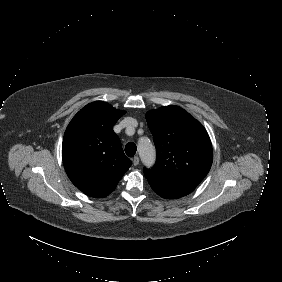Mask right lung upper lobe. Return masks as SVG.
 Returning <instances> with one entry per match:
<instances>
[{
	"label": "right lung upper lobe",
	"instance_id": "right-lung-upper-lobe-1",
	"mask_svg": "<svg viewBox=\"0 0 282 282\" xmlns=\"http://www.w3.org/2000/svg\"><path fill=\"white\" fill-rule=\"evenodd\" d=\"M125 111L103 101L83 107L69 123L62 143L65 171L84 194L102 198L117 186L132 162L113 126Z\"/></svg>",
	"mask_w": 282,
	"mask_h": 282
}]
</instances>
